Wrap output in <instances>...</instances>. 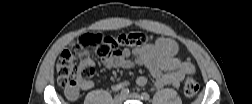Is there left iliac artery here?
I'll return each instance as SVG.
<instances>
[{
	"instance_id": "left-iliac-artery-1",
	"label": "left iliac artery",
	"mask_w": 252,
	"mask_h": 104,
	"mask_svg": "<svg viewBox=\"0 0 252 104\" xmlns=\"http://www.w3.org/2000/svg\"><path fill=\"white\" fill-rule=\"evenodd\" d=\"M149 98H150V96H149L148 93L143 92V93L141 94V99H142V100L147 101V100H149Z\"/></svg>"
}]
</instances>
